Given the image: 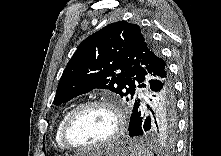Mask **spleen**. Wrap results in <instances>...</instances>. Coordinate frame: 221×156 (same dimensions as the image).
<instances>
[{
  "label": "spleen",
  "instance_id": "spleen-1",
  "mask_svg": "<svg viewBox=\"0 0 221 156\" xmlns=\"http://www.w3.org/2000/svg\"><path fill=\"white\" fill-rule=\"evenodd\" d=\"M131 148L134 151V156H153L152 152L137 143H131Z\"/></svg>",
  "mask_w": 221,
  "mask_h": 156
}]
</instances>
